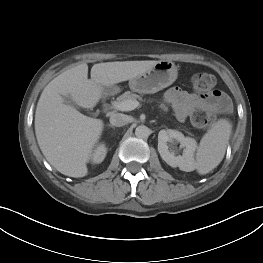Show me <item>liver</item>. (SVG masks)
I'll return each mask as SVG.
<instances>
[{
	"label": "liver",
	"mask_w": 263,
	"mask_h": 263,
	"mask_svg": "<svg viewBox=\"0 0 263 263\" xmlns=\"http://www.w3.org/2000/svg\"><path fill=\"white\" fill-rule=\"evenodd\" d=\"M158 61H115L77 65L58 75L44 88L35 112V134L46 160L60 173L74 178L88 173L87 163L103 131V121L66 105L62 96L83 108H93L103 87L130 80Z\"/></svg>",
	"instance_id": "obj_1"
}]
</instances>
